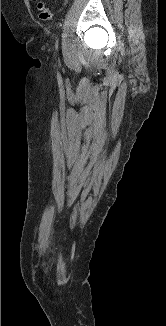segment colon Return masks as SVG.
I'll return each mask as SVG.
<instances>
[{"label": "colon", "instance_id": "colon-1", "mask_svg": "<svg viewBox=\"0 0 166 326\" xmlns=\"http://www.w3.org/2000/svg\"><path fill=\"white\" fill-rule=\"evenodd\" d=\"M38 16L41 20H51L53 17L52 10L43 2L37 4Z\"/></svg>", "mask_w": 166, "mask_h": 326}]
</instances>
